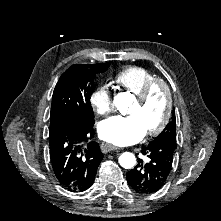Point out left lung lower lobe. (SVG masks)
Returning <instances> with one entry per match:
<instances>
[{
  "instance_id": "left-lung-lower-lobe-1",
  "label": "left lung lower lobe",
  "mask_w": 221,
  "mask_h": 221,
  "mask_svg": "<svg viewBox=\"0 0 221 221\" xmlns=\"http://www.w3.org/2000/svg\"><path fill=\"white\" fill-rule=\"evenodd\" d=\"M176 142L169 139L149 143L141 152L150 162L138 160L137 166L127 173V182L139 194H152L166 183L172 168Z\"/></svg>"
}]
</instances>
